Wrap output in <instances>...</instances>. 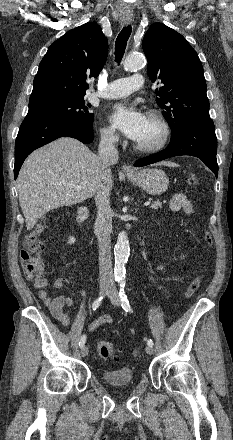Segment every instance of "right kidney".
Returning <instances> with one entry per match:
<instances>
[{
    "label": "right kidney",
    "mask_w": 233,
    "mask_h": 440,
    "mask_svg": "<svg viewBox=\"0 0 233 440\" xmlns=\"http://www.w3.org/2000/svg\"><path fill=\"white\" fill-rule=\"evenodd\" d=\"M75 242V238L74 237H70L69 238V244H73Z\"/></svg>",
    "instance_id": "1"
}]
</instances>
